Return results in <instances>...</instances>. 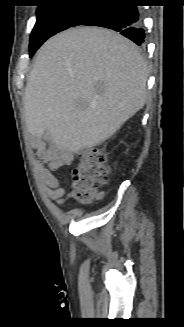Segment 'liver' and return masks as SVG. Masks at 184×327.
Instances as JSON below:
<instances>
[{
    "instance_id": "liver-1",
    "label": "liver",
    "mask_w": 184,
    "mask_h": 327,
    "mask_svg": "<svg viewBox=\"0 0 184 327\" xmlns=\"http://www.w3.org/2000/svg\"><path fill=\"white\" fill-rule=\"evenodd\" d=\"M147 78L138 48L122 35L96 27L59 33L27 80L28 132L72 153L97 146L144 106Z\"/></svg>"
}]
</instances>
